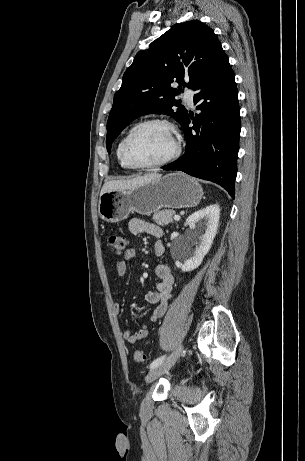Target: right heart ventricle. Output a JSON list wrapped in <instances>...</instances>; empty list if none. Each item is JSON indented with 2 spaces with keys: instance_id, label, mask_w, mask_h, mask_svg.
Returning <instances> with one entry per match:
<instances>
[{
  "instance_id": "right-heart-ventricle-1",
  "label": "right heart ventricle",
  "mask_w": 305,
  "mask_h": 461,
  "mask_svg": "<svg viewBox=\"0 0 305 461\" xmlns=\"http://www.w3.org/2000/svg\"><path fill=\"white\" fill-rule=\"evenodd\" d=\"M129 133V131L124 134L120 140L118 141L117 143V146H116V158H117V161L119 163V165L123 168V169H127V170H131L133 169L131 166H129L127 164V162L124 160V157H123V152H122V146H123V142H124V139L125 137L127 136V134Z\"/></svg>"
}]
</instances>
